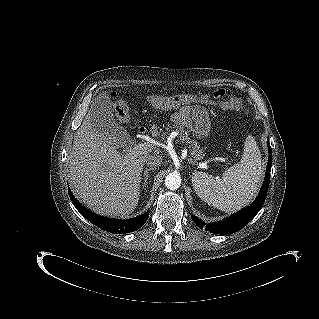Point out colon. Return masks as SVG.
I'll use <instances>...</instances> for the list:
<instances>
[{
  "label": "colon",
  "mask_w": 319,
  "mask_h": 319,
  "mask_svg": "<svg viewBox=\"0 0 319 319\" xmlns=\"http://www.w3.org/2000/svg\"><path fill=\"white\" fill-rule=\"evenodd\" d=\"M229 96V93L223 90H219L214 92L210 98L213 100L221 102L223 106L226 107H234L238 105H235L233 101L227 100V97ZM148 102L152 104L155 107L160 108H170L174 106H178L180 104L192 102V101H205L208 99L207 96L198 97L193 94H176L172 96H167L162 93H151L147 97ZM116 114L120 120H126L128 118V109L126 105L123 102H118L115 107Z\"/></svg>",
  "instance_id": "obj_1"
}]
</instances>
